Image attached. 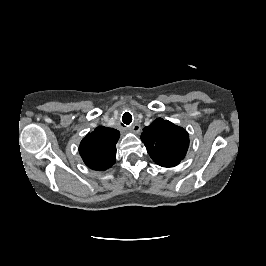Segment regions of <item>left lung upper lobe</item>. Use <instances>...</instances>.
Masks as SVG:
<instances>
[{
  "mask_svg": "<svg viewBox=\"0 0 266 266\" xmlns=\"http://www.w3.org/2000/svg\"><path fill=\"white\" fill-rule=\"evenodd\" d=\"M141 140L150 157L162 167L178 165L189 146L187 131L162 118H157L143 129Z\"/></svg>",
  "mask_w": 266,
  "mask_h": 266,
  "instance_id": "5c2ea615",
  "label": "left lung upper lobe"
}]
</instances>
